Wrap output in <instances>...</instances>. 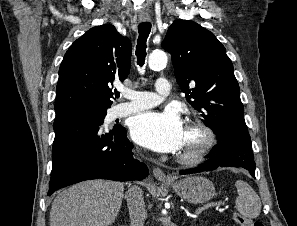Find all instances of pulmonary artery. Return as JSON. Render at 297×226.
I'll list each match as a JSON object with an SVG mask.
<instances>
[{
  "mask_svg": "<svg viewBox=\"0 0 297 226\" xmlns=\"http://www.w3.org/2000/svg\"><path fill=\"white\" fill-rule=\"evenodd\" d=\"M171 92V84L166 78H159L155 83V91L128 90L124 96L129 102L115 105L111 110L113 118L124 117L129 114L154 107L162 102L164 96Z\"/></svg>",
  "mask_w": 297,
  "mask_h": 226,
  "instance_id": "obj_1",
  "label": "pulmonary artery"
}]
</instances>
